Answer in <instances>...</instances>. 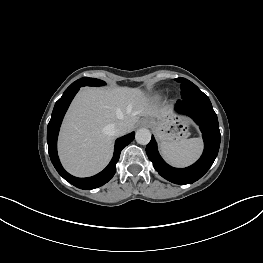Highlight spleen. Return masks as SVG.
Returning <instances> with one entry per match:
<instances>
[{
    "label": "spleen",
    "mask_w": 263,
    "mask_h": 263,
    "mask_svg": "<svg viewBox=\"0 0 263 263\" xmlns=\"http://www.w3.org/2000/svg\"><path fill=\"white\" fill-rule=\"evenodd\" d=\"M160 149L164 158L172 165L185 167L194 163L201 155L203 143L200 138H182L162 142Z\"/></svg>",
    "instance_id": "obj_1"
}]
</instances>
